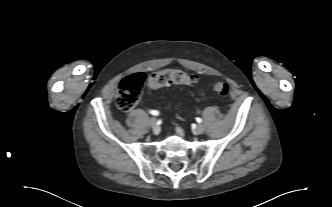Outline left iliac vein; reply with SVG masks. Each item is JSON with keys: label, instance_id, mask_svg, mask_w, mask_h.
<instances>
[{"label": "left iliac vein", "instance_id": "obj_1", "mask_svg": "<svg viewBox=\"0 0 332 207\" xmlns=\"http://www.w3.org/2000/svg\"><path fill=\"white\" fill-rule=\"evenodd\" d=\"M205 128L203 125L199 124L195 127L194 132L196 134H202L204 132Z\"/></svg>", "mask_w": 332, "mask_h": 207}]
</instances>
